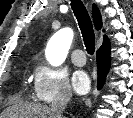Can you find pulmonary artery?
<instances>
[{
    "instance_id": "pulmonary-artery-1",
    "label": "pulmonary artery",
    "mask_w": 133,
    "mask_h": 118,
    "mask_svg": "<svg viewBox=\"0 0 133 118\" xmlns=\"http://www.w3.org/2000/svg\"><path fill=\"white\" fill-rule=\"evenodd\" d=\"M72 62L77 66H83L86 63L85 52L82 49H75L71 54Z\"/></svg>"
}]
</instances>
